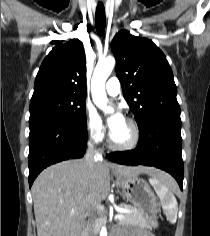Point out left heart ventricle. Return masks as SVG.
<instances>
[{"label":"left heart ventricle","mask_w":210,"mask_h":236,"mask_svg":"<svg viewBox=\"0 0 210 236\" xmlns=\"http://www.w3.org/2000/svg\"><path fill=\"white\" fill-rule=\"evenodd\" d=\"M114 142L119 144L127 143L132 137V129L126 120L114 131L111 132Z\"/></svg>","instance_id":"left-heart-ventricle-1"}]
</instances>
